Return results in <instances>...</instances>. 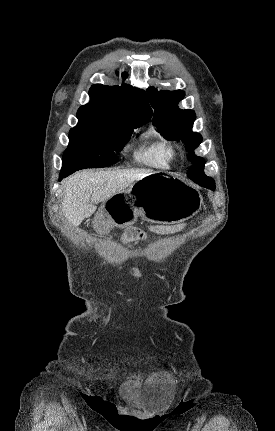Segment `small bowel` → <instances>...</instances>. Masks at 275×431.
Returning a JSON list of instances; mask_svg holds the SVG:
<instances>
[{
	"label": "small bowel",
	"mask_w": 275,
	"mask_h": 431,
	"mask_svg": "<svg viewBox=\"0 0 275 431\" xmlns=\"http://www.w3.org/2000/svg\"><path fill=\"white\" fill-rule=\"evenodd\" d=\"M184 228L183 224L173 226H156L152 227V231L159 234H173L181 231ZM143 237V233L137 229H130L123 236L124 242L135 241Z\"/></svg>",
	"instance_id": "small-bowel-1"
}]
</instances>
